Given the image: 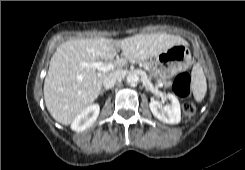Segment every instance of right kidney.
I'll return each instance as SVG.
<instances>
[{"mask_svg": "<svg viewBox=\"0 0 245 170\" xmlns=\"http://www.w3.org/2000/svg\"><path fill=\"white\" fill-rule=\"evenodd\" d=\"M100 107L98 104H92L84 109L71 123V129L80 132L84 131L94 124L98 118Z\"/></svg>", "mask_w": 245, "mask_h": 170, "instance_id": "obj_1", "label": "right kidney"}]
</instances>
